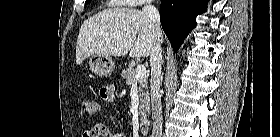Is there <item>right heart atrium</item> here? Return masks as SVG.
Segmentation results:
<instances>
[{
	"mask_svg": "<svg viewBox=\"0 0 280 137\" xmlns=\"http://www.w3.org/2000/svg\"><path fill=\"white\" fill-rule=\"evenodd\" d=\"M142 3H143V0H137V1H136V4H137V5H141Z\"/></svg>",
	"mask_w": 280,
	"mask_h": 137,
	"instance_id": "obj_1",
	"label": "right heart atrium"
}]
</instances>
